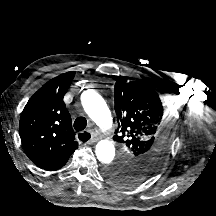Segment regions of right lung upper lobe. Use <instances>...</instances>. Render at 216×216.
I'll use <instances>...</instances> for the list:
<instances>
[{"mask_svg": "<svg viewBox=\"0 0 216 216\" xmlns=\"http://www.w3.org/2000/svg\"><path fill=\"white\" fill-rule=\"evenodd\" d=\"M74 76L71 71L48 81L29 99L21 114L22 146L30 160L44 170L60 169L78 148L63 102Z\"/></svg>", "mask_w": 216, "mask_h": 216, "instance_id": "1", "label": "right lung upper lobe"}]
</instances>
